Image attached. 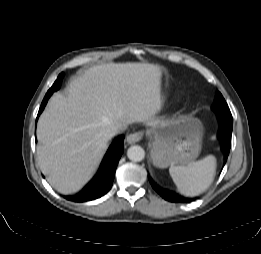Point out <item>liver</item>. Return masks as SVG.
<instances>
[{
	"label": "liver",
	"mask_w": 261,
	"mask_h": 254,
	"mask_svg": "<svg viewBox=\"0 0 261 254\" xmlns=\"http://www.w3.org/2000/svg\"><path fill=\"white\" fill-rule=\"evenodd\" d=\"M159 66L110 63L74 77L66 95L49 101L37 126V160L60 193L78 191L91 177L106 149L108 131L131 123L149 125L160 109Z\"/></svg>",
	"instance_id": "obj_1"
}]
</instances>
